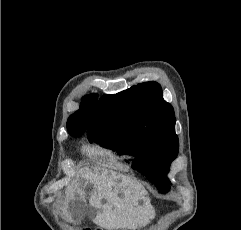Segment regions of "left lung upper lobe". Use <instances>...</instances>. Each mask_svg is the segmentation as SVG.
I'll return each instance as SVG.
<instances>
[{
  "mask_svg": "<svg viewBox=\"0 0 241 230\" xmlns=\"http://www.w3.org/2000/svg\"><path fill=\"white\" fill-rule=\"evenodd\" d=\"M175 122L173 107L164 101L161 86L145 82L102 96L87 137L121 154H134L132 167L165 193L170 188L166 174L179 148Z\"/></svg>",
  "mask_w": 241,
  "mask_h": 230,
  "instance_id": "5c2ea615",
  "label": "left lung upper lobe"
}]
</instances>
